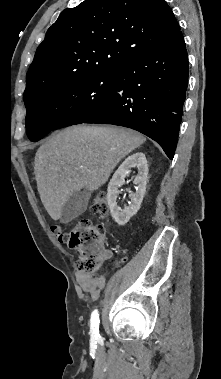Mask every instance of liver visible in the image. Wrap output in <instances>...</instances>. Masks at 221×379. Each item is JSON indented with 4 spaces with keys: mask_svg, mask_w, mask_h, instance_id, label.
Here are the masks:
<instances>
[{
    "mask_svg": "<svg viewBox=\"0 0 221 379\" xmlns=\"http://www.w3.org/2000/svg\"><path fill=\"white\" fill-rule=\"evenodd\" d=\"M146 138L114 126H74L52 136L36 152L34 173L44 208L53 220L63 205L83 188L95 191L116 165Z\"/></svg>",
    "mask_w": 221,
    "mask_h": 379,
    "instance_id": "6515ba94",
    "label": "liver"
}]
</instances>
